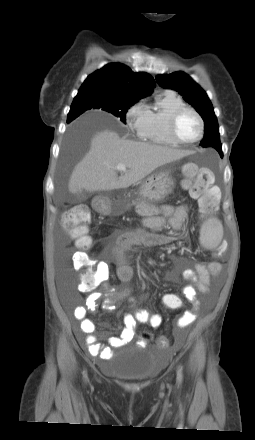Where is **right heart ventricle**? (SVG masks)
<instances>
[{"label": "right heart ventricle", "mask_w": 255, "mask_h": 440, "mask_svg": "<svg viewBox=\"0 0 255 440\" xmlns=\"http://www.w3.org/2000/svg\"><path fill=\"white\" fill-rule=\"evenodd\" d=\"M183 106H186L185 102L173 91L158 96L154 105L147 107L140 138L153 144L176 146L169 133V119L175 110Z\"/></svg>", "instance_id": "1"}]
</instances>
